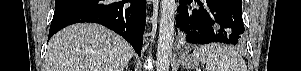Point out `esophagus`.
I'll use <instances>...</instances> for the list:
<instances>
[{"instance_id": "obj_1", "label": "esophagus", "mask_w": 301, "mask_h": 71, "mask_svg": "<svg viewBox=\"0 0 301 71\" xmlns=\"http://www.w3.org/2000/svg\"><path fill=\"white\" fill-rule=\"evenodd\" d=\"M149 2L155 4L158 2V0H149Z\"/></svg>"}]
</instances>
